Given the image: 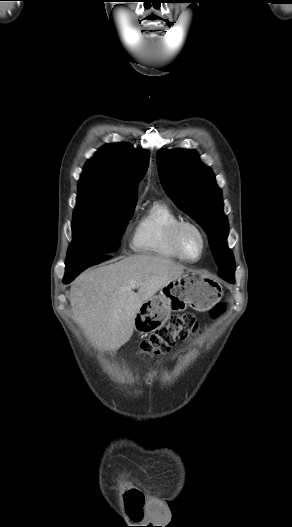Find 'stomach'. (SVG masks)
Masks as SVG:
<instances>
[{
	"label": "stomach",
	"mask_w": 292,
	"mask_h": 527,
	"mask_svg": "<svg viewBox=\"0 0 292 527\" xmlns=\"http://www.w3.org/2000/svg\"><path fill=\"white\" fill-rule=\"evenodd\" d=\"M222 294L218 281L199 272L188 271L140 306L135 315L134 329L141 334L155 332L167 322L171 311L181 312L189 306L204 312L218 303Z\"/></svg>",
	"instance_id": "stomach-1"
}]
</instances>
